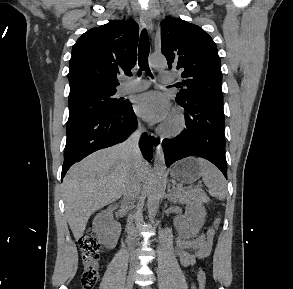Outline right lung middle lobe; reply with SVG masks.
<instances>
[{"label":"right lung middle lobe","instance_id":"obj_1","mask_svg":"<svg viewBox=\"0 0 293 289\" xmlns=\"http://www.w3.org/2000/svg\"><path fill=\"white\" fill-rule=\"evenodd\" d=\"M115 93L92 95L69 101L67 126L95 115L125 108L129 102L116 98Z\"/></svg>","mask_w":293,"mask_h":289}]
</instances>
